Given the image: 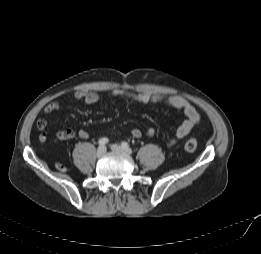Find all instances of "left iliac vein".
I'll return each instance as SVG.
<instances>
[{
  "instance_id": "left-iliac-vein-1",
  "label": "left iliac vein",
  "mask_w": 261,
  "mask_h": 254,
  "mask_svg": "<svg viewBox=\"0 0 261 254\" xmlns=\"http://www.w3.org/2000/svg\"><path fill=\"white\" fill-rule=\"evenodd\" d=\"M111 149L113 151H124L125 153L127 154H131V149L127 148V149H124L123 147H121L120 145L118 144H112L111 145Z\"/></svg>"
}]
</instances>
